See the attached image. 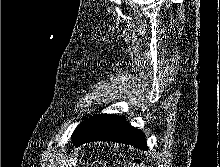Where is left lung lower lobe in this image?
Returning a JSON list of instances; mask_svg holds the SVG:
<instances>
[{
    "label": "left lung lower lobe",
    "mask_w": 220,
    "mask_h": 167,
    "mask_svg": "<svg viewBox=\"0 0 220 167\" xmlns=\"http://www.w3.org/2000/svg\"><path fill=\"white\" fill-rule=\"evenodd\" d=\"M93 141H114L148 150L144 134L121 116L101 114L85 134L73 144L80 146Z\"/></svg>",
    "instance_id": "left-lung-lower-lobe-1"
}]
</instances>
